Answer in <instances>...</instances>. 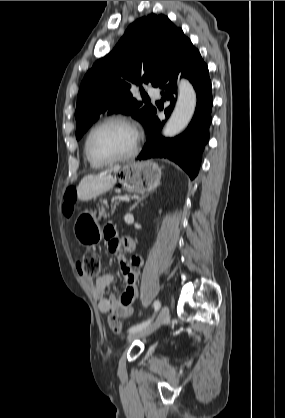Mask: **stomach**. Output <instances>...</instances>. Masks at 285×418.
Returning a JSON list of instances; mask_svg holds the SVG:
<instances>
[{
  "label": "stomach",
  "instance_id": "obj_1",
  "mask_svg": "<svg viewBox=\"0 0 285 418\" xmlns=\"http://www.w3.org/2000/svg\"><path fill=\"white\" fill-rule=\"evenodd\" d=\"M123 189L132 193H144L155 188L161 180V168L153 161L130 162L114 172ZM93 223V224H92ZM74 234L79 242L88 244V239L96 242L102 237L101 227L95 219L78 216L74 224Z\"/></svg>",
  "mask_w": 285,
  "mask_h": 418
}]
</instances>
